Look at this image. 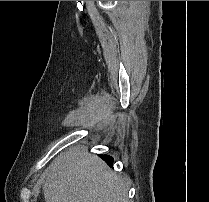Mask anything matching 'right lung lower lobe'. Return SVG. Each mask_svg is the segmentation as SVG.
Instances as JSON below:
<instances>
[{
	"instance_id": "98d812e1",
	"label": "right lung lower lobe",
	"mask_w": 209,
	"mask_h": 202,
	"mask_svg": "<svg viewBox=\"0 0 209 202\" xmlns=\"http://www.w3.org/2000/svg\"><path fill=\"white\" fill-rule=\"evenodd\" d=\"M100 157L108 164L112 167L113 165V158L111 156L108 155H100Z\"/></svg>"
}]
</instances>
